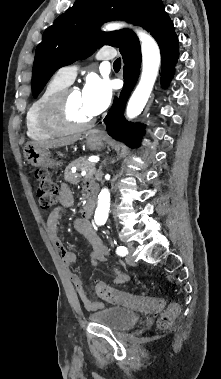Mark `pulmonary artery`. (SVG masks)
<instances>
[{"label": "pulmonary artery", "mask_w": 221, "mask_h": 379, "mask_svg": "<svg viewBox=\"0 0 221 379\" xmlns=\"http://www.w3.org/2000/svg\"><path fill=\"white\" fill-rule=\"evenodd\" d=\"M115 55L116 53L113 49L104 48V49H101L97 53L96 57L99 60H110V59H113ZM77 70H78V67L76 65H68V66H64L60 68L57 71L56 75L63 81L70 84L74 81L77 75Z\"/></svg>", "instance_id": "pulmonary-artery-1"}]
</instances>
